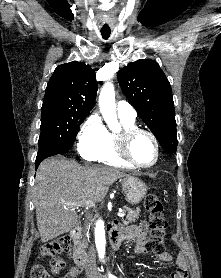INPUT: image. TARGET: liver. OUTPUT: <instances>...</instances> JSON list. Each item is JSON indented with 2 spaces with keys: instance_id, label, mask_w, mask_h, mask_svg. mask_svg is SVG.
<instances>
[{
  "instance_id": "6515ba94",
  "label": "liver",
  "mask_w": 221,
  "mask_h": 278,
  "mask_svg": "<svg viewBox=\"0 0 221 278\" xmlns=\"http://www.w3.org/2000/svg\"><path fill=\"white\" fill-rule=\"evenodd\" d=\"M123 177L128 175L107 167L81 166L63 156L44 160L38 167L33 188L41 241L55 239L75 227L78 215L71 204L86 199L102 201L109 186Z\"/></svg>"
}]
</instances>
